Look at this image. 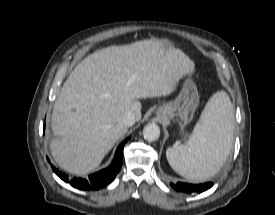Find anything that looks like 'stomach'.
Returning <instances> with one entry per match:
<instances>
[{
	"label": "stomach",
	"mask_w": 275,
	"mask_h": 215,
	"mask_svg": "<svg viewBox=\"0 0 275 215\" xmlns=\"http://www.w3.org/2000/svg\"><path fill=\"white\" fill-rule=\"evenodd\" d=\"M166 49L173 48L167 40H162ZM199 104V93L193 80L188 77L183 83L182 89L177 98L164 104L156 110V115L161 118L174 119L181 126L189 123Z\"/></svg>",
	"instance_id": "0dacf381"
}]
</instances>
